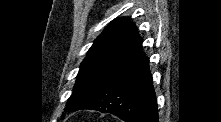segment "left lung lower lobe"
Instances as JSON below:
<instances>
[{
  "label": "left lung lower lobe",
  "instance_id": "left-lung-lower-lobe-1",
  "mask_svg": "<svg viewBox=\"0 0 221 122\" xmlns=\"http://www.w3.org/2000/svg\"><path fill=\"white\" fill-rule=\"evenodd\" d=\"M79 109L111 113L126 122H158L149 60L136 29L113 70Z\"/></svg>",
  "mask_w": 221,
  "mask_h": 122
}]
</instances>
